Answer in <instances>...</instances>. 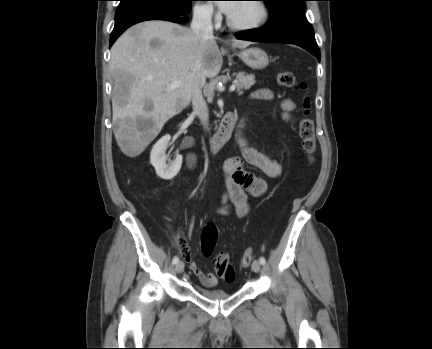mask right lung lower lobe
Masks as SVG:
<instances>
[{
    "mask_svg": "<svg viewBox=\"0 0 432 349\" xmlns=\"http://www.w3.org/2000/svg\"><path fill=\"white\" fill-rule=\"evenodd\" d=\"M191 7L185 10L173 9L169 6L157 3H141L124 9H120L115 17L114 29L111 33L109 47L130 26L147 20H167L183 23L187 18H182L190 12Z\"/></svg>",
    "mask_w": 432,
    "mask_h": 349,
    "instance_id": "98d812e1",
    "label": "right lung lower lobe"
}]
</instances>
